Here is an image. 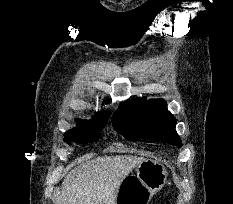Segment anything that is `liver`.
I'll list each match as a JSON object with an SVG mask.
<instances>
[{
	"label": "liver",
	"instance_id": "1",
	"mask_svg": "<svg viewBox=\"0 0 233 204\" xmlns=\"http://www.w3.org/2000/svg\"><path fill=\"white\" fill-rule=\"evenodd\" d=\"M143 160L118 155L80 163L65 177L58 204H115L121 182Z\"/></svg>",
	"mask_w": 233,
	"mask_h": 204
}]
</instances>
